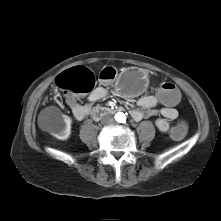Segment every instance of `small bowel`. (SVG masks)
<instances>
[{
  "label": "small bowel",
  "instance_id": "1",
  "mask_svg": "<svg viewBox=\"0 0 221 221\" xmlns=\"http://www.w3.org/2000/svg\"><path fill=\"white\" fill-rule=\"evenodd\" d=\"M107 95L105 87L100 86L95 88L88 95V104H81L76 100V97L67 96V103L71 108L74 117L77 120H83L90 115L93 110V103L102 100ZM161 103L158 99L151 95H144L138 98L137 105L138 109L130 110V115L135 121H140L144 118L160 115L166 120L173 121L178 117V111L174 108H167L163 105L162 108L157 109V106Z\"/></svg>",
  "mask_w": 221,
  "mask_h": 221
}]
</instances>
